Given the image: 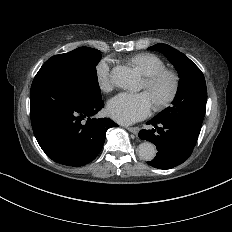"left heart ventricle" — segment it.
<instances>
[{"label": "left heart ventricle", "mask_w": 232, "mask_h": 232, "mask_svg": "<svg viewBox=\"0 0 232 232\" xmlns=\"http://www.w3.org/2000/svg\"><path fill=\"white\" fill-rule=\"evenodd\" d=\"M142 88H144V82L142 83ZM169 88H170V81H169V79L165 78L160 83V85L158 86V88L155 91L148 92V94L150 95V97L155 105H157L159 100L162 99L168 93Z\"/></svg>", "instance_id": "1"}]
</instances>
